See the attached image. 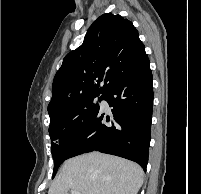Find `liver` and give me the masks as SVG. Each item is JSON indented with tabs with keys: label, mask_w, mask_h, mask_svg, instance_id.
<instances>
[{
	"label": "liver",
	"mask_w": 201,
	"mask_h": 194,
	"mask_svg": "<svg viewBox=\"0 0 201 194\" xmlns=\"http://www.w3.org/2000/svg\"><path fill=\"white\" fill-rule=\"evenodd\" d=\"M142 168L126 159L99 152L67 160L48 194H137L143 184Z\"/></svg>",
	"instance_id": "6515ba94"
}]
</instances>
